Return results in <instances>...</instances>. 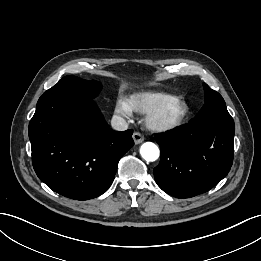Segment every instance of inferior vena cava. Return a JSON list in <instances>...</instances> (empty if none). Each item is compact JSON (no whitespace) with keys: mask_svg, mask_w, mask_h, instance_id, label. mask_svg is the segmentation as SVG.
I'll use <instances>...</instances> for the list:
<instances>
[{"mask_svg":"<svg viewBox=\"0 0 261 261\" xmlns=\"http://www.w3.org/2000/svg\"><path fill=\"white\" fill-rule=\"evenodd\" d=\"M111 125L114 130L125 131L128 129L126 120L120 116L114 115L111 119Z\"/></svg>","mask_w":261,"mask_h":261,"instance_id":"1","label":"inferior vena cava"}]
</instances>
